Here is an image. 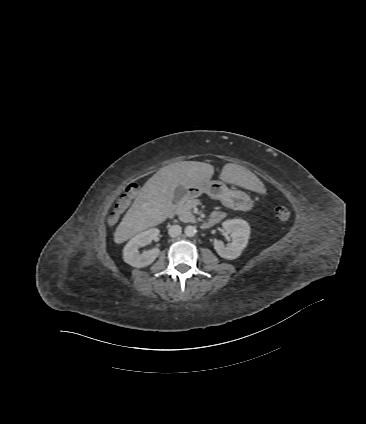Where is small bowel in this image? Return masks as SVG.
Returning a JSON list of instances; mask_svg holds the SVG:
<instances>
[{
	"mask_svg": "<svg viewBox=\"0 0 366 424\" xmlns=\"http://www.w3.org/2000/svg\"><path fill=\"white\" fill-rule=\"evenodd\" d=\"M225 217V213L221 210H215L211 216V219L215 220L216 223L220 222Z\"/></svg>",
	"mask_w": 366,
	"mask_h": 424,
	"instance_id": "c3829d8e",
	"label": "small bowel"
}]
</instances>
